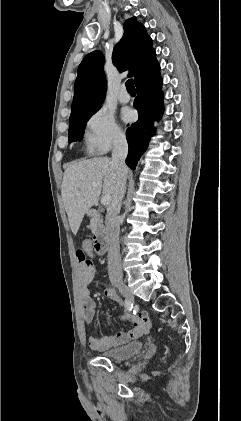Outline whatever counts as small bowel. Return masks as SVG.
<instances>
[{
  "label": "small bowel",
  "mask_w": 241,
  "mask_h": 421,
  "mask_svg": "<svg viewBox=\"0 0 241 421\" xmlns=\"http://www.w3.org/2000/svg\"><path fill=\"white\" fill-rule=\"evenodd\" d=\"M96 276V267L93 263H79L77 278L79 285V298L83 309V318L87 325L93 323L96 314V303L91 297L89 284ZM106 298L117 301V293L111 289L104 292ZM131 328L119 331L115 334L105 335L101 337L90 336L88 339L89 346L98 351L108 350L119 345L125 344L133 339H137L149 332L152 327V321L146 311H141L137 316L130 319Z\"/></svg>",
  "instance_id": "1"
}]
</instances>
